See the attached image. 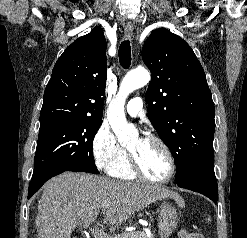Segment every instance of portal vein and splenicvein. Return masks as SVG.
I'll use <instances>...</instances> for the list:
<instances>
[{"label":"portal vein and splenic vein","instance_id":"18ae733b","mask_svg":"<svg viewBox=\"0 0 247 238\" xmlns=\"http://www.w3.org/2000/svg\"><path fill=\"white\" fill-rule=\"evenodd\" d=\"M96 216H97V214L95 215V217ZM92 220H93V218H90V219L84 221V223H83L84 226L89 227L90 221H92ZM91 231H92V233H94L97 236V238H112V237H109L108 235H106L105 233H103L100 230H97V229H94V228L92 229L91 228Z\"/></svg>","mask_w":247,"mask_h":238}]
</instances>
